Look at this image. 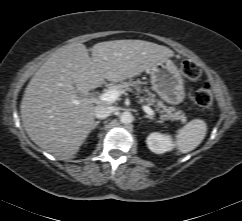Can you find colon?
Instances as JSON below:
<instances>
[{"instance_id":"obj_1","label":"colon","mask_w":242,"mask_h":221,"mask_svg":"<svg viewBox=\"0 0 242 221\" xmlns=\"http://www.w3.org/2000/svg\"><path fill=\"white\" fill-rule=\"evenodd\" d=\"M183 74L190 79H196L201 75V67L194 61L185 60L181 64ZM194 102L201 108H207L212 104L213 92L208 83L201 85L193 95Z\"/></svg>"}]
</instances>
